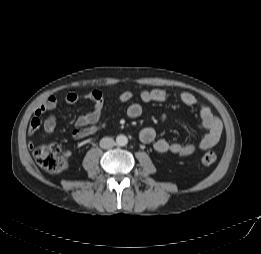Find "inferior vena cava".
I'll return each mask as SVG.
<instances>
[{"label":"inferior vena cava","mask_w":261,"mask_h":254,"mask_svg":"<svg viewBox=\"0 0 261 254\" xmlns=\"http://www.w3.org/2000/svg\"><path fill=\"white\" fill-rule=\"evenodd\" d=\"M115 145V141L110 137H104L100 141V147L103 149H110Z\"/></svg>","instance_id":"obj_1"}]
</instances>
